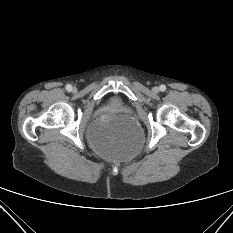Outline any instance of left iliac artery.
<instances>
[{
  "label": "left iliac artery",
  "mask_w": 233,
  "mask_h": 233,
  "mask_svg": "<svg viewBox=\"0 0 233 233\" xmlns=\"http://www.w3.org/2000/svg\"><path fill=\"white\" fill-rule=\"evenodd\" d=\"M165 90H166V86H165V85H161V86H160V91L163 92V91H165Z\"/></svg>",
  "instance_id": "left-iliac-artery-1"
}]
</instances>
